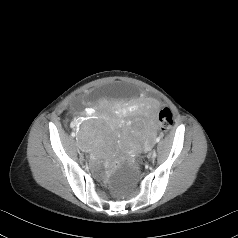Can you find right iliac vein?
Segmentation results:
<instances>
[{
    "label": "right iliac vein",
    "mask_w": 238,
    "mask_h": 238,
    "mask_svg": "<svg viewBox=\"0 0 238 238\" xmlns=\"http://www.w3.org/2000/svg\"><path fill=\"white\" fill-rule=\"evenodd\" d=\"M77 155H81L79 147H76Z\"/></svg>",
    "instance_id": "63e3f726"
}]
</instances>
